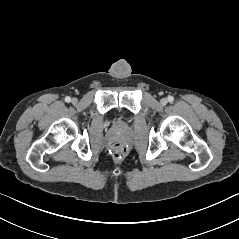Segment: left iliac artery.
<instances>
[{"mask_svg":"<svg viewBox=\"0 0 239 239\" xmlns=\"http://www.w3.org/2000/svg\"><path fill=\"white\" fill-rule=\"evenodd\" d=\"M168 101H169L170 103H172V102L174 101V97H173V96H168Z\"/></svg>","mask_w":239,"mask_h":239,"instance_id":"left-iliac-artery-1","label":"left iliac artery"}]
</instances>
